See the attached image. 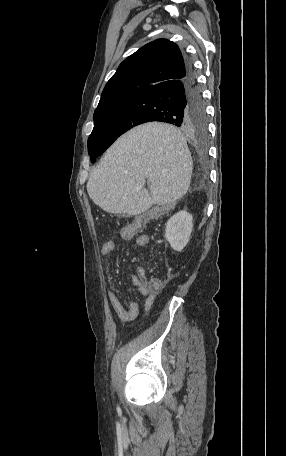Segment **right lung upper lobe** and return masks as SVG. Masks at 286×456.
Wrapping results in <instances>:
<instances>
[{"label":"right lung upper lobe","mask_w":286,"mask_h":456,"mask_svg":"<svg viewBox=\"0 0 286 456\" xmlns=\"http://www.w3.org/2000/svg\"><path fill=\"white\" fill-rule=\"evenodd\" d=\"M185 73L186 62L178 46L169 40H155L119 65L116 73L106 84L97 109L113 100L179 79Z\"/></svg>","instance_id":"obj_1"}]
</instances>
